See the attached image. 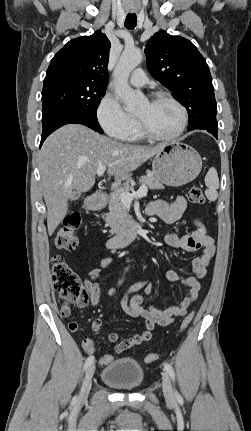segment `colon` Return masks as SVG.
Returning a JSON list of instances; mask_svg holds the SVG:
<instances>
[{"label":"colon","mask_w":251,"mask_h":431,"mask_svg":"<svg viewBox=\"0 0 251 431\" xmlns=\"http://www.w3.org/2000/svg\"><path fill=\"white\" fill-rule=\"evenodd\" d=\"M189 200L193 204L203 205L205 203V196L202 189L199 186H192L188 193ZM80 226V216L76 213L67 216L58 228L55 244L59 249L73 250L78 244L77 230ZM52 278L54 288L66 301L61 307V315L66 317L71 313V304L78 307H83L88 302V294L85 291L80 278L70 268L68 263L61 256H54L51 263ZM193 319V313L188 314L181 323V330H186L191 324ZM70 330H74L78 327L77 323L70 322L68 325ZM86 357L95 356L96 345L91 338L86 337L81 346ZM159 358V354L151 353L145 357L146 363H152ZM117 359L114 353H102L99 355V362L96 363L97 369H102L104 366H109Z\"/></svg>","instance_id":"colon-1"}]
</instances>
